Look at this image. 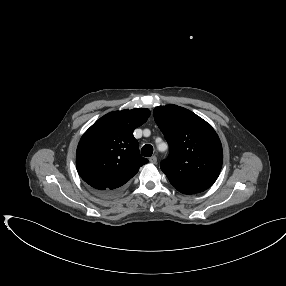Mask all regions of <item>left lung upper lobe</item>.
Instances as JSON below:
<instances>
[{
	"label": "left lung upper lobe",
	"instance_id": "5c2ea615",
	"mask_svg": "<svg viewBox=\"0 0 286 286\" xmlns=\"http://www.w3.org/2000/svg\"><path fill=\"white\" fill-rule=\"evenodd\" d=\"M154 119L170 147L161 170L181 193L208 189L219 176L223 151L214 129L195 113L176 105L154 109Z\"/></svg>",
	"mask_w": 286,
	"mask_h": 286
}]
</instances>
